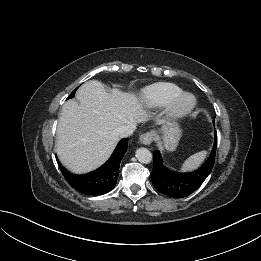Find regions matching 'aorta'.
<instances>
[{
	"label": "aorta",
	"instance_id": "aorta-1",
	"mask_svg": "<svg viewBox=\"0 0 261 261\" xmlns=\"http://www.w3.org/2000/svg\"><path fill=\"white\" fill-rule=\"evenodd\" d=\"M136 158L139 162L148 164L152 161V153L147 148H139L136 150Z\"/></svg>",
	"mask_w": 261,
	"mask_h": 261
}]
</instances>
